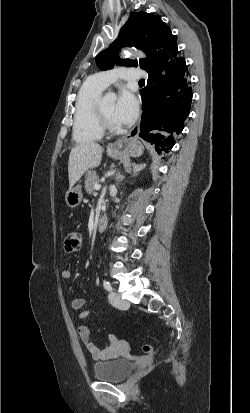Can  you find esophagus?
I'll return each mask as SVG.
<instances>
[{"mask_svg":"<svg viewBox=\"0 0 250 413\" xmlns=\"http://www.w3.org/2000/svg\"><path fill=\"white\" fill-rule=\"evenodd\" d=\"M139 130H140L139 124L135 125L133 129L124 138L116 140L113 143H110L107 147V150L109 152H119V150L122 148L125 142L138 136Z\"/></svg>","mask_w":250,"mask_h":413,"instance_id":"1","label":"esophagus"}]
</instances>
